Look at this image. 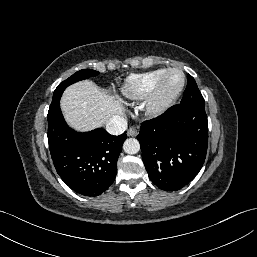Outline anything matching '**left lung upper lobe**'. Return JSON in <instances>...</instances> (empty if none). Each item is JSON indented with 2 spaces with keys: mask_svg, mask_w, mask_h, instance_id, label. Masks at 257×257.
Segmentation results:
<instances>
[{
  "mask_svg": "<svg viewBox=\"0 0 257 257\" xmlns=\"http://www.w3.org/2000/svg\"><path fill=\"white\" fill-rule=\"evenodd\" d=\"M188 84L183 94V98L180 104H201L205 105L204 98L198 89V86L194 78L188 74Z\"/></svg>",
  "mask_w": 257,
  "mask_h": 257,
  "instance_id": "1",
  "label": "left lung upper lobe"
}]
</instances>
